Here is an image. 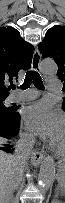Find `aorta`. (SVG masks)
Wrapping results in <instances>:
<instances>
[{
	"mask_svg": "<svg viewBox=\"0 0 65 203\" xmlns=\"http://www.w3.org/2000/svg\"><path fill=\"white\" fill-rule=\"evenodd\" d=\"M57 65L51 59H45L40 63V71L46 75L56 74ZM56 176L55 162L52 157H46L43 159L40 165V171L38 176V185L42 192L46 193L53 184Z\"/></svg>",
	"mask_w": 65,
	"mask_h": 203,
	"instance_id": "762f6f07",
	"label": "aorta"
}]
</instances>
